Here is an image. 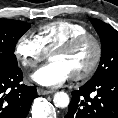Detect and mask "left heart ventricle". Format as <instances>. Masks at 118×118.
I'll list each match as a JSON object with an SVG mask.
<instances>
[{
  "instance_id": "obj_1",
  "label": "left heart ventricle",
  "mask_w": 118,
  "mask_h": 118,
  "mask_svg": "<svg viewBox=\"0 0 118 118\" xmlns=\"http://www.w3.org/2000/svg\"><path fill=\"white\" fill-rule=\"evenodd\" d=\"M94 46L91 42H85L70 53H52L50 60L61 63L70 76L84 72L94 57Z\"/></svg>"
}]
</instances>
